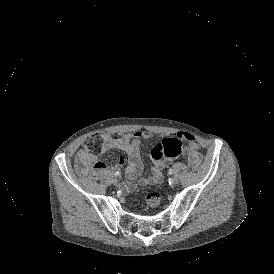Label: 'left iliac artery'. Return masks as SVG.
Here are the masks:
<instances>
[{
	"label": "left iliac artery",
	"instance_id": "44dca946",
	"mask_svg": "<svg viewBox=\"0 0 274 274\" xmlns=\"http://www.w3.org/2000/svg\"><path fill=\"white\" fill-rule=\"evenodd\" d=\"M173 173H174V170L170 168V169L168 170V174L171 175V174H173Z\"/></svg>",
	"mask_w": 274,
	"mask_h": 274
}]
</instances>
